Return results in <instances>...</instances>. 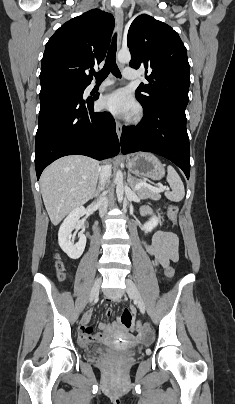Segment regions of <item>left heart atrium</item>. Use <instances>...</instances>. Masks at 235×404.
I'll list each match as a JSON object with an SVG mask.
<instances>
[{
  "label": "left heart atrium",
  "instance_id": "obj_1",
  "mask_svg": "<svg viewBox=\"0 0 235 404\" xmlns=\"http://www.w3.org/2000/svg\"><path fill=\"white\" fill-rule=\"evenodd\" d=\"M102 106L116 116L131 117L137 111V104L123 89L116 90L102 100Z\"/></svg>",
  "mask_w": 235,
  "mask_h": 404
}]
</instances>
